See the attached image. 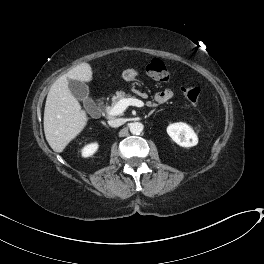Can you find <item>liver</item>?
Returning a JSON list of instances; mask_svg holds the SVG:
<instances>
[{
    "label": "liver",
    "mask_w": 264,
    "mask_h": 264,
    "mask_svg": "<svg viewBox=\"0 0 264 264\" xmlns=\"http://www.w3.org/2000/svg\"><path fill=\"white\" fill-rule=\"evenodd\" d=\"M93 71L84 62L59 77L51 86L44 110V133L50 147L62 152L88 123V116L69 88V80L90 82Z\"/></svg>",
    "instance_id": "liver-1"
}]
</instances>
